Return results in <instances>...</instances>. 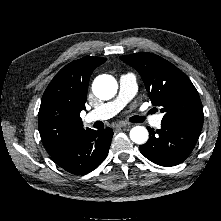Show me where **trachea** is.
<instances>
[{"instance_id":"obj_1","label":"trachea","mask_w":221,"mask_h":221,"mask_svg":"<svg viewBox=\"0 0 221 221\" xmlns=\"http://www.w3.org/2000/svg\"><path fill=\"white\" fill-rule=\"evenodd\" d=\"M132 122L142 123L144 121V117L134 116L130 119Z\"/></svg>"}]
</instances>
